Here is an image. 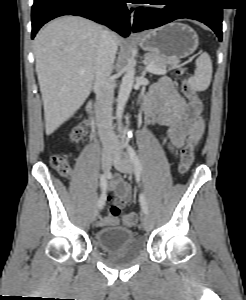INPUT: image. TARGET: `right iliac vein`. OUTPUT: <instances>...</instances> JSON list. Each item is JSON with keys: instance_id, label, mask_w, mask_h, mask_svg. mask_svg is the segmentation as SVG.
I'll use <instances>...</instances> for the list:
<instances>
[{"instance_id": "63e3f726", "label": "right iliac vein", "mask_w": 246, "mask_h": 300, "mask_svg": "<svg viewBox=\"0 0 246 300\" xmlns=\"http://www.w3.org/2000/svg\"><path fill=\"white\" fill-rule=\"evenodd\" d=\"M115 157V154L112 152H104L101 158V165L104 172H108L111 168L112 161ZM98 213L97 207H94L90 212V222L94 221Z\"/></svg>"}]
</instances>
